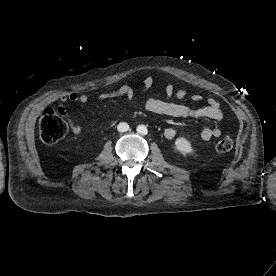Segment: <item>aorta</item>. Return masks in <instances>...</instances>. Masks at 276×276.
Returning a JSON list of instances; mask_svg holds the SVG:
<instances>
[{
	"label": "aorta",
	"mask_w": 276,
	"mask_h": 276,
	"mask_svg": "<svg viewBox=\"0 0 276 276\" xmlns=\"http://www.w3.org/2000/svg\"><path fill=\"white\" fill-rule=\"evenodd\" d=\"M137 132L141 135H146L148 133V129L145 125L141 124L137 126Z\"/></svg>",
	"instance_id": "1"
}]
</instances>
